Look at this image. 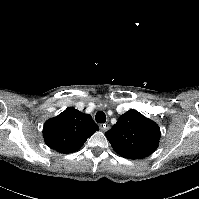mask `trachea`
Instances as JSON below:
<instances>
[{"instance_id": "trachea-1", "label": "trachea", "mask_w": 199, "mask_h": 199, "mask_svg": "<svg viewBox=\"0 0 199 199\" xmlns=\"http://www.w3.org/2000/svg\"><path fill=\"white\" fill-rule=\"evenodd\" d=\"M95 120L97 123H105L106 122V115L103 111H98L95 115Z\"/></svg>"}]
</instances>
